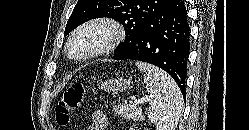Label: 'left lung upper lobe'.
Segmentation results:
<instances>
[{"mask_svg":"<svg viewBox=\"0 0 249 130\" xmlns=\"http://www.w3.org/2000/svg\"><path fill=\"white\" fill-rule=\"evenodd\" d=\"M171 0H78L67 22L64 35L82 23L100 17L119 21L125 29L124 43L114 55L127 46L138 34L144 23L167 6Z\"/></svg>","mask_w":249,"mask_h":130,"instance_id":"obj_1","label":"left lung upper lobe"}]
</instances>
